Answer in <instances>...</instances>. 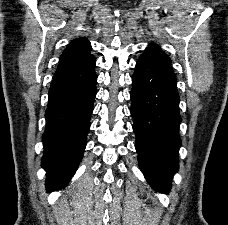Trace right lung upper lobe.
Masks as SVG:
<instances>
[{
    "instance_id": "right-lung-upper-lobe-1",
    "label": "right lung upper lobe",
    "mask_w": 228,
    "mask_h": 225,
    "mask_svg": "<svg viewBox=\"0 0 228 225\" xmlns=\"http://www.w3.org/2000/svg\"><path fill=\"white\" fill-rule=\"evenodd\" d=\"M90 51V42L86 38H77L73 40L63 51L59 64L82 59L90 55Z\"/></svg>"
}]
</instances>
